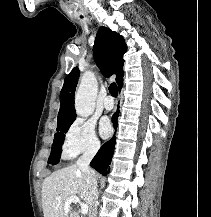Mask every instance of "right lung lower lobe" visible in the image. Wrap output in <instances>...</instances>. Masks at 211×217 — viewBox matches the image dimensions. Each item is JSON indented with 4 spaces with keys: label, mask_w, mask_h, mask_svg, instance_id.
<instances>
[{
    "label": "right lung lower lobe",
    "mask_w": 211,
    "mask_h": 217,
    "mask_svg": "<svg viewBox=\"0 0 211 217\" xmlns=\"http://www.w3.org/2000/svg\"><path fill=\"white\" fill-rule=\"evenodd\" d=\"M122 87V86H121ZM119 87V90L121 89ZM119 111L113 115L112 122L114 127L116 128L117 125V118H118ZM116 144L115 137L113 136L108 142H106L98 151L96 156L91 161L90 165L92 168L97 170L99 173H101L103 176H106L110 169L109 165L111 163L112 153L114 146Z\"/></svg>",
    "instance_id": "right-lung-lower-lobe-1"
}]
</instances>
